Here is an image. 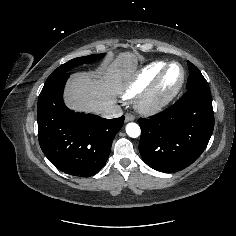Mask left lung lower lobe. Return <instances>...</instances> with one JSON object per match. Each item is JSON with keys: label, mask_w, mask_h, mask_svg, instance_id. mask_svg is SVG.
Returning a JSON list of instances; mask_svg holds the SVG:
<instances>
[{"label": "left lung lower lobe", "mask_w": 236, "mask_h": 236, "mask_svg": "<svg viewBox=\"0 0 236 236\" xmlns=\"http://www.w3.org/2000/svg\"><path fill=\"white\" fill-rule=\"evenodd\" d=\"M139 151L151 168L172 173L192 164L205 150L214 129L209 86L187 92L168 109L139 119Z\"/></svg>", "instance_id": "1"}]
</instances>
